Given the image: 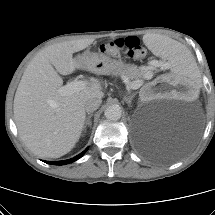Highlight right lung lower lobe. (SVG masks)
<instances>
[{"label":"right lung lower lobe","mask_w":215,"mask_h":215,"mask_svg":"<svg viewBox=\"0 0 215 215\" xmlns=\"http://www.w3.org/2000/svg\"><path fill=\"white\" fill-rule=\"evenodd\" d=\"M88 150V147L82 152L80 153L79 155L71 158V159H68V160H62V161H45L46 163L48 164H53V165H65V164H69V163H72L76 160H78L79 158H81L85 153L86 151Z\"/></svg>","instance_id":"1"}]
</instances>
